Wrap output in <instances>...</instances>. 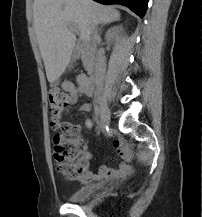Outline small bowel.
<instances>
[{"label": "small bowel", "instance_id": "small-bowel-1", "mask_svg": "<svg viewBox=\"0 0 202 217\" xmlns=\"http://www.w3.org/2000/svg\"><path fill=\"white\" fill-rule=\"evenodd\" d=\"M81 76L77 78V86L70 82L65 81L62 83V88L71 96L72 102L76 101L79 95H89L83 87L81 86ZM82 111H89L91 109V105L86 103L83 104L80 108ZM85 126L87 128H92L93 122L91 119L85 120ZM71 129L78 132L81 130V126L79 124L70 125ZM113 147L116 149L117 154L123 161H130L132 159V151L128 145H125L122 140L115 139L113 141ZM91 158V154L88 151H85L82 159L84 161V171L81 176L82 179H97V178H123L132 172V167L126 163H121L117 168H109L106 166H101L98 169L97 173H94L89 170V160Z\"/></svg>", "mask_w": 202, "mask_h": 217}]
</instances>
